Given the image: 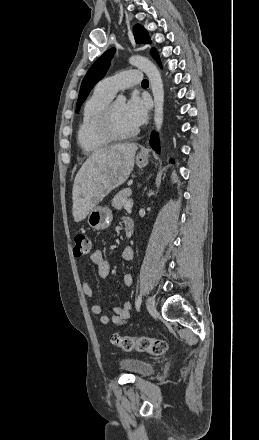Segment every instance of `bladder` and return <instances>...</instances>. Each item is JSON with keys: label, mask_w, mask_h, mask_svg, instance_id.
Returning <instances> with one entry per match:
<instances>
[{"label": "bladder", "mask_w": 259, "mask_h": 440, "mask_svg": "<svg viewBox=\"0 0 259 440\" xmlns=\"http://www.w3.org/2000/svg\"><path fill=\"white\" fill-rule=\"evenodd\" d=\"M120 368L135 376H147L154 371L151 363L136 357H126L120 361Z\"/></svg>", "instance_id": "bladder-1"}]
</instances>
